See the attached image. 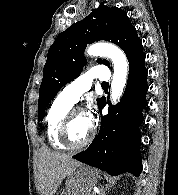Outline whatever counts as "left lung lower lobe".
<instances>
[{
  "label": "left lung lower lobe",
  "instance_id": "obj_1",
  "mask_svg": "<svg viewBox=\"0 0 178 195\" xmlns=\"http://www.w3.org/2000/svg\"><path fill=\"white\" fill-rule=\"evenodd\" d=\"M144 63V53L129 61V76L121 101L109 107L108 115L102 116L99 134L87 150L73 158L110 175L124 172L136 177L140 175L141 136L138 127L143 121L142 109L147 105L145 94L148 90ZM105 105L106 98L103 97L98 105L99 110Z\"/></svg>",
  "mask_w": 178,
  "mask_h": 195
}]
</instances>
